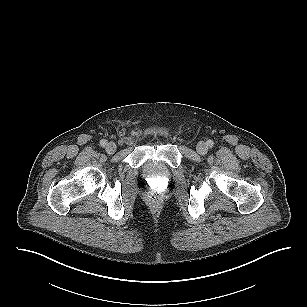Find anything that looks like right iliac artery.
<instances>
[{
  "mask_svg": "<svg viewBox=\"0 0 307 307\" xmlns=\"http://www.w3.org/2000/svg\"><path fill=\"white\" fill-rule=\"evenodd\" d=\"M106 144H107V141H106V140L103 139V140L100 141V145H101L102 147H105Z\"/></svg>",
  "mask_w": 307,
  "mask_h": 307,
  "instance_id": "obj_1",
  "label": "right iliac artery"
}]
</instances>
